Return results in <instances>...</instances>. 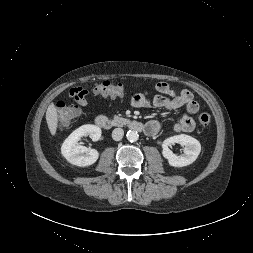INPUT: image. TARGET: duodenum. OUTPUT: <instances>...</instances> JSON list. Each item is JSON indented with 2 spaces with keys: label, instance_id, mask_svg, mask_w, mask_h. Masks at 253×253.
<instances>
[{
  "label": "duodenum",
  "instance_id": "duodenum-1",
  "mask_svg": "<svg viewBox=\"0 0 253 253\" xmlns=\"http://www.w3.org/2000/svg\"><path fill=\"white\" fill-rule=\"evenodd\" d=\"M95 123L98 127L104 130H110L115 126L114 121L104 115L97 116ZM128 126L131 130L138 132L146 131L147 129V127L139 121H131L129 122Z\"/></svg>",
  "mask_w": 253,
  "mask_h": 253
}]
</instances>
